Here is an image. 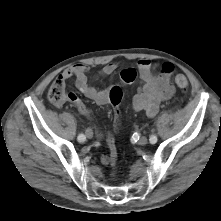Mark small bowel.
Instances as JSON below:
<instances>
[{"instance_id": "1", "label": "small bowel", "mask_w": 221, "mask_h": 221, "mask_svg": "<svg viewBox=\"0 0 221 221\" xmlns=\"http://www.w3.org/2000/svg\"><path fill=\"white\" fill-rule=\"evenodd\" d=\"M157 64L149 59H141L138 61L135 68H127L121 73V80L124 83H132L137 78L140 79V86L132 98V108L135 111H143L148 116H155L159 110L160 104L170 99L175 87L170 80V76L165 74L155 73ZM117 65L113 62L106 64L98 76L105 77L114 73ZM88 66L84 64H75L64 70L57 79L66 83L72 77L75 78L76 88L86 98L94 101L98 105H106L111 103L110 89H99L89 82ZM78 111L84 116L90 118V110L80 101L79 104L72 103ZM100 161L103 165L111 163L110 155H101Z\"/></svg>"}]
</instances>
